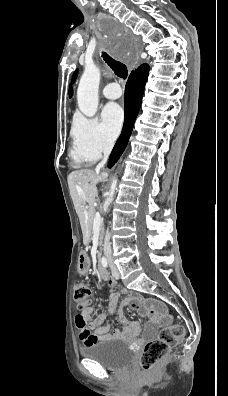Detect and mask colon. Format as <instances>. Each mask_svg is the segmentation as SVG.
I'll return each mask as SVG.
<instances>
[{"label": "colon", "instance_id": "1", "mask_svg": "<svg viewBox=\"0 0 228 396\" xmlns=\"http://www.w3.org/2000/svg\"><path fill=\"white\" fill-rule=\"evenodd\" d=\"M74 298L81 310L76 316V326L78 329H83L87 323L84 310L90 303V290L84 282L76 283ZM183 335V327L174 324L161 331L158 337L147 341L139 361L141 368L144 371L154 370L166 358L170 348L182 339Z\"/></svg>", "mask_w": 228, "mask_h": 396}]
</instances>
